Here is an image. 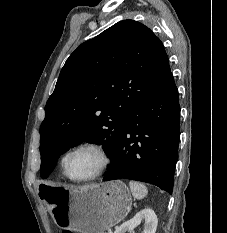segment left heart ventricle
Returning a JSON list of instances; mask_svg holds the SVG:
<instances>
[{"mask_svg": "<svg viewBox=\"0 0 227 233\" xmlns=\"http://www.w3.org/2000/svg\"><path fill=\"white\" fill-rule=\"evenodd\" d=\"M99 154L91 149H83L74 153L68 162L69 174L74 179H82L92 175L100 166Z\"/></svg>", "mask_w": 227, "mask_h": 233, "instance_id": "1", "label": "left heart ventricle"}]
</instances>
